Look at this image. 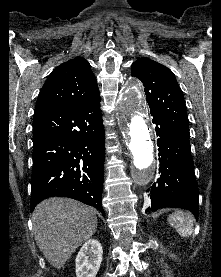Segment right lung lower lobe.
Masks as SVG:
<instances>
[{"mask_svg": "<svg viewBox=\"0 0 221 277\" xmlns=\"http://www.w3.org/2000/svg\"><path fill=\"white\" fill-rule=\"evenodd\" d=\"M105 136L100 97L77 107L35 112L31 211L63 196L102 207Z\"/></svg>", "mask_w": 221, "mask_h": 277, "instance_id": "98d812e1", "label": "right lung lower lobe"}]
</instances>
